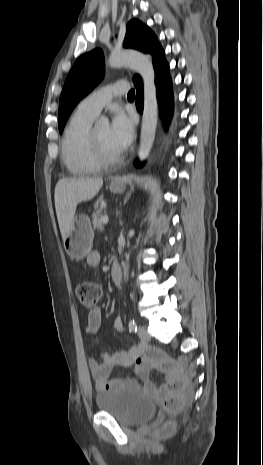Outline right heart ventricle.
<instances>
[{"label":"right heart ventricle","instance_id":"obj_1","mask_svg":"<svg viewBox=\"0 0 263 465\" xmlns=\"http://www.w3.org/2000/svg\"><path fill=\"white\" fill-rule=\"evenodd\" d=\"M94 118L76 110L65 128L61 142V156L71 174L89 175L101 169L93 158L88 141Z\"/></svg>","mask_w":263,"mask_h":465}]
</instances>
